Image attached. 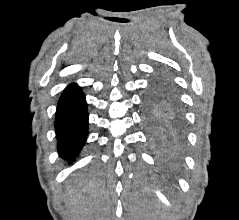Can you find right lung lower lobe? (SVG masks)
Segmentation results:
<instances>
[{"mask_svg":"<svg viewBox=\"0 0 239 220\" xmlns=\"http://www.w3.org/2000/svg\"><path fill=\"white\" fill-rule=\"evenodd\" d=\"M55 129L59 155L72 159L85 144L88 130L87 103L76 84L66 87L59 99Z\"/></svg>","mask_w":239,"mask_h":220,"instance_id":"1","label":"right lung lower lobe"}]
</instances>
